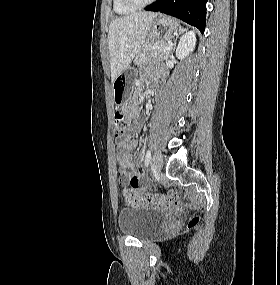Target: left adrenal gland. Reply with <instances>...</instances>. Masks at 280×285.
I'll list each match as a JSON object with an SVG mask.
<instances>
[{
    "label": "left adrenal gland",
    "instance_id": "obj_1",
    "mask_svg": "<svg viewBox=\"0 0 280 285\" xmlns=\"http://www.w3.org/2000/svg\"><path fill=\"white\" fill-rule=\"evenodd\" d=\"M186 31V29L180 27L179 30H178V34L176 36V39L174 40V43H173V48H172V51H171V54L174 52L175 50V46H176V41H177V38L179 37V35H181L182 33H184Z\"/></svg>",
    "mask_w": 280,
    "mask_h": 285
}]
</instances>
